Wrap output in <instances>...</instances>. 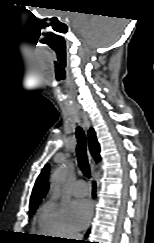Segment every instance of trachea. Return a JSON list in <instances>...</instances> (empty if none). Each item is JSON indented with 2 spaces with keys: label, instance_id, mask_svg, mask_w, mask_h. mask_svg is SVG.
<instances>
[{
  "label": "trachea",
  "instance_id": "obj_1",
  "mask_svg": "<svg viewBox=\"0 0 154 243\" xmlns=\"http://www.w3.org/2000/svg\"><path fill=\"white\" fill-rule=\"evenodd\" d=\"M76 137H77V158L78 164L81 171L87 178H90V167L88 163V157L86 152V137L84 131L81 127L76 128Z\"/></svg>",
  "mask_w": 154,
  "mask_h": 243
}]
</instances>
